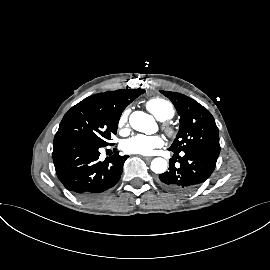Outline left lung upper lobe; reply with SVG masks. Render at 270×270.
I'll list each match as a JSON object with an SVG mask.
<instances>
[{
    "mask_svg": "<svg viewBox=\"0 0 270 270\" xmlns=\"http://www.w3.org/2000/svg\"><path fill=\"white\" fill-rule=\"evenodd\" d=\"M174 104L180 116V129L169 150H199L219 156V130L211 113L197 101L181 93L160 91Z\"/></svg>",
    "mask_w": 270,
    "mask_h": 270,
    "instance_id": "1",
    "label": "left lung upper lobe"
}]
</instances>
